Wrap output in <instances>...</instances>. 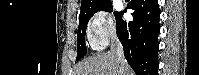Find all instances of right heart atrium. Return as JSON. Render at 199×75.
<instances>
[{
	"label": "right heart atrium",
	"instance_id": "right-heart-atrium-1",
	"mask_svg": "<svg viewBox=\"0 0 199 75\" xmlns=\"http://www.w3.org/2000/svg\"><path fill=\"white\" fill-rule=\"evenodd\" d=\"M115 35L116 25L108 12H97L89 19L86 26V37L92 49H103Z\"/></svg>",
	"mask_w": 199,
	"mask_h": 75
}]
</instances>
